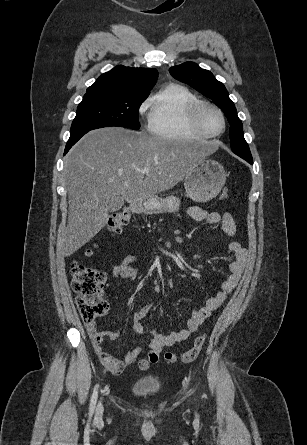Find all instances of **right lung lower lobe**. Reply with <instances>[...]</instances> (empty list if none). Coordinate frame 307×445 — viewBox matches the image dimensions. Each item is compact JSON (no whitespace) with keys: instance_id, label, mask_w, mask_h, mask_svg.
Returning <instances> with one entry per match:
<instances>
[{"instance_id":"obj_1","label":"right lung lower lobe","mask_w":307,"mask_h":445,"mask_svg":"<svg viewBox=\"0 0 307 445\" xmlns=\"http://www.w3.org/2000/svg\"><path fill=\"white\" fill-rule=\"evenodd\" d=\"M87 132H89V131H86V132H83V133H81V134H78V135H76V136H70V138H69V140H68V142H67V145H66V148H65V152H64V155L69 151V149L84 135V134H86Z\"/></svg>"}]
</instances>
